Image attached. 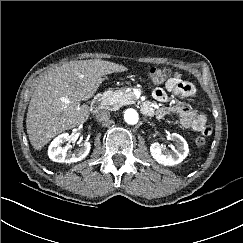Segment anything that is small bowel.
<instances>
[{
	"mask_svg": "<svg viewBox=\"0 0 243 243\" xmlns=\"http://www.w3.org/2000/svg\"><path fill=\"white\" fill-rule=\"evenodd\" d=\"M196 94L195 86L184 80L181 74L175 73L163 87H156L152 91V96L156 101L165 102L170 95L181 97H192ZM154 114V109L149 105ZM170 113H176L180 117L181 124L184 128L192 129L201 133L202 136H209L212 133L210 125L204 115L199 114L189 106L160 107L156 110V117L161 119Z\"/></svg>",
	"mask_w": 243,
	"mask_h": 243,
	"instance_id": "c3829d8e",
	"label": "small bowel"
}]
</instances>
